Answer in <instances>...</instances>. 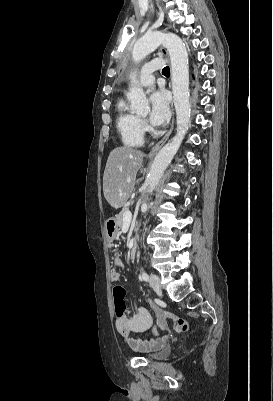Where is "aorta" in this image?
<instances>
[{
  "instance_id": "762f6f07",
  "label": "aorta",
  "mask_w": 273,
  "mask_h": 401,
  "mask_svg": "<svg viewBox=\"0 0 273 401\" xmlns=\"http://www.w3.org/2000/svg\"><path fill=\"white\" fill-rule=\"evenodd\" d=\"M159 45H163L169 53L172 69V91L176 111V135L156 155L147 177L148 192H153L165 169L177 153L191 122V105L189 91L188 53L180 37L173 33H146L138 40L132 51L135 62H141ZM135 80V76L132 77ZM131 110L137 114L149 111V102L140 87H132L128 93Z\"/></svg>"
}]
</instances>
